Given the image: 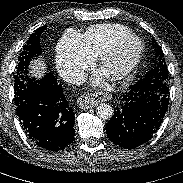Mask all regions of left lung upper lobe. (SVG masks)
Instances as JSON below:
<instances>
[{
	"instance_id": "left-lung-upper-lobe-1",
	"label": "left lung upper lobe",
	"mask_w": 183,
	"mask_h": 183,
	"mask_svg": "<svg viewBox=\"0 0 183 183\" xmlns=\"http://www.w3.org/2000/svg\"><path fill=\"white\" fill-rule=\"evenodd\" d=\"M155 44L157 56L159 57L158 63L153 69H151L142 79H140L132 87L137 89H143L151 92H157L161 94H168V69L164 61V54L161 47L153 40Z\"/></svg>"
}]
</instances>
